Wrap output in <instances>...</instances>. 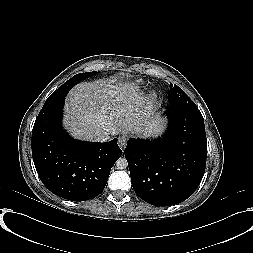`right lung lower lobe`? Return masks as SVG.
<instances>
[{
    "label": "right lung lower lobe",
    "mask_w": 253,
    "mask_h": 253,
    "mask_svg": "<svg viewBox=\"0 0 253 253\" xmlns=\"http://www.w3.org/2000/svg\"><path fill=\"white\" fill-rule=\"evenodd\" d=\"M65 96L44 105L32 130V157L43 184L55 195L85 201L105 188L110 170L122 155L117 139L81 142L62 128Z\"/></svg>",
    "instance_id": "1"
}]
</instances>
